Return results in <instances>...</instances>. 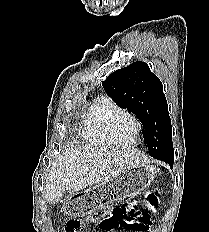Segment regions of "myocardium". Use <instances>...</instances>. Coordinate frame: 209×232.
Instances as JSON below:
<instances>
[{
    "mask_svg": "<svg viewBox=\"0 0 209 232\" xmlns=\"http://www.w3.org/2000/svg\"><path fill=\"white\" fill-rule=\"evenodd\" d=\"M121 116H129L135 123V130H134V134L132 136V140H135L140 129H141V123L140 120L138 119V117L131 111L129 110H125V109H120L117 112H115L114 114H112V116L109 118L108 124H107V135L110 139V141L116 145V146H120V147H131V142L129 143H121L120 141H118L114 135L113 132V125L116 122V120L121 117Z\"/></svg>",
    "mask_w": 209,
    "mask_h": 232,
    "instance_id": "f54148a6",
    "label": "myocardium"
}]
</instances>
